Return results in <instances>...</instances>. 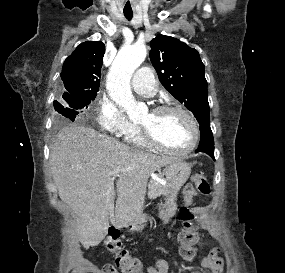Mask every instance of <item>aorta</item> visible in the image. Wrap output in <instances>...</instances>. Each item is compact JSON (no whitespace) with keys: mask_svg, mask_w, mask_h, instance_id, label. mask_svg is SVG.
Segmentation results:
<instances>
[{"mask_svg":"<svg viewBox=\"0 0 285 273\" xmlns=\"http://www.w3.org/2000/svg\"><path fill=\"white\" fill-rule=\"evenodd\" d=\"M146 55L147 49L144 44L136 43L122 47L107 75L106 87L111 99L130 118H137L147 110L145 104L134 100L130 90L131 77L145 60Z\"/></svg>","mask_w":285,"mask_h":273,"instance_id":"aorta-1","label":"aorta"}]
</instances>
